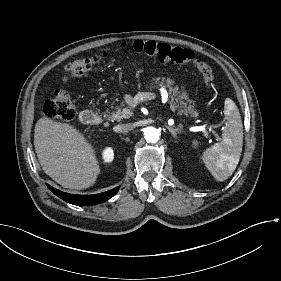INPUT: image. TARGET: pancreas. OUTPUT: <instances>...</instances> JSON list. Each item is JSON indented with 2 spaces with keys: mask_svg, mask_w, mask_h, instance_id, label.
<instances>
[{
  "mask_svg": "<svg viewBox=\"0 0 281 281\" xmlns=\"http://www.w3.org/2000/svg\"><path fill=\"white\" fill-rule=\"evenodd\" d=\"M173 82L170 79L166 80L165 83V78H162L161 82L159 83V86L163 88H169V94H171V101H170V106L173 108H177L178 105L177 103L179 102L181 105L186 106L187 104L182 101L183 97L179 95L178 92V87H172L171 85ZM121 106H124V102L121 103ZM188 109L191 111L192 116L196 117L198 116V112L194 111L192 109V106L190 105ZM131 116L130 113H124L122 108L118 107L116 112H113L111 115L107 116L108 120L111 121H121L123 118H129Z\"/></svg>",
  "mask_w": 281,
  "mask_h": 281,
  "instance_id": "cf45deb5",
  "label": "pancreas"
}]
</instances>
